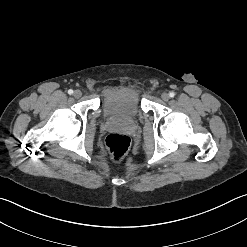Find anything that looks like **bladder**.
I'll list each match as a JSON object with an SVG mask.
<instances>
[{"mask_svg":"<svg viewBox=\"0 0 247 247\" xmlns=\"http://www.w3.org/2000/svg\"><path fill=\"white\" fill-rule=\"evenodd\" d=\"M105 116L114 119H132L141 112L139 91L130 86L107 87L101 97Z\"/></svg>","mask_w":247,"mask_h":247,"instance_id":"31cf9c89","label":"bladder"}]
</instances>
